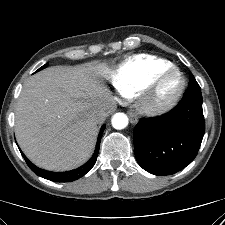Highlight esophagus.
Here are the masks:
<instances>
[{
	"mask_svg": "<svg viewBox=\"0 0 225 225\" xmlns=\"http://www.w3.org/2000/svg\"><path fill=\"white\" fill-rule=\"evenodd\" d=\"M131 123L136 124L138 122V117L135 112L129 111L128 113Z\"/></svg>",
	"mask_w": 225,
	"mask_h": 225,
	"instance_id": "34e87169",
	"label": "esophagus"
}]
</instances>
